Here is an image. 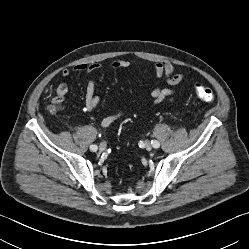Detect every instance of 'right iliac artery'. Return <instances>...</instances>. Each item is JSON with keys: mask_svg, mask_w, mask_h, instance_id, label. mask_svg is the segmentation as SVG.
<instances>
[{"mask_svg": "<svg viewBox=\"0 0 249 249\" xmlns=\"http://www.w3.org/2000/svg\"><path fill=\"white\" fill-rule=\"evenodd\" d=\"M97 148H98L97 145H91L90 146L91 151H97Z\"/></svg>", "mask_w": 249, "mask_h": 249, "instance_id": "obj_1", "label": "right iliac artery"}]
</instances>
